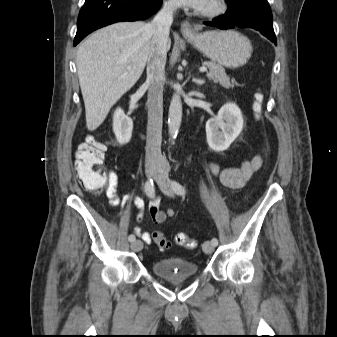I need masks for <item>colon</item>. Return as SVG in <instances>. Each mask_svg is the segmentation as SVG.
Returning <instances> with one entry per match:
<instances>
[{"mask_svg":"<svg viewBox=\"0 0 337 337\" xmlns=\"http://www.w3.org/2000/svg\"><path fill=\"white\" fill-rule=\"evenodd\" d=\"M263 95L260 91L255 94L254 111L256 115L261 113ZM106 146L103 142L88 136L82 142L75 155V169L82 185L90 191H102L108 185L109 176L102 169ZM154 241L160 249H169L171 244L165 235L156 231L153 234ZM175 241L179 246L193 249L196 241L185 233H178Z\"/></svg>","mask_w":337,"mask_h":337,"instance_id":"colon-1","label":"colon"}]
</instances>
